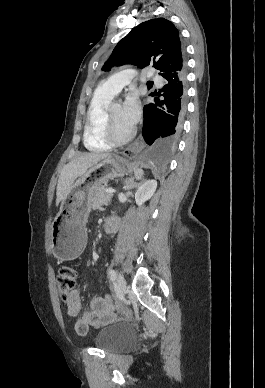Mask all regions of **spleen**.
Segmentation results:
<instances>
[{
    "mask_svg": "<svg viewBox=\"0 0 265 388\" xmlns=\"http://www.w3.org/2000/svg\"><path fill=\"white\" fill-rule=\"evenodd\" d=\"M134 176L136 180H141V178L144 176L143 170H140V168H135Z\"/></svg>",
    "mask_w": 265,
    "mask_h": 388,
    "instance_id": "3e777b00",
    "label": "spleen"
}]
</instances>
